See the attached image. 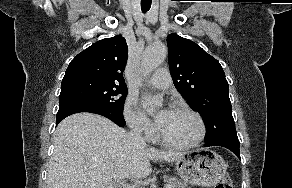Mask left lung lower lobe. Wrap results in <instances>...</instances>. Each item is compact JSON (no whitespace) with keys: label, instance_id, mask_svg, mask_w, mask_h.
<instances>
[{"label":"left lung lower lobe","instance_id":"1","mask_svg":"<svg viewBox=\"0 0 292 188\" xmlns=\"http://www.w3.org/2000/svg\"><path fill=\"white\" fill-rule=\"evenodd\" d=\"M205 146H221L231 150L238 158L239 153V140L236 131H229L216 136L213 139L205 140Z\"/></svg>","mask_w":292,"mask_h":188}]
</instances>
